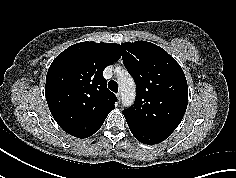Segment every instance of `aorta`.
Listing matches in <instances>:
<instances>
[{
	"instance_id": "aorta-1",
	"label": "aorta",
	"mask_w": 236,
	"mask_h": 178,
	"mask_svg": "<svg viewBox=\"0 0 236 178\" xmlns=\"http://www.w3.org/2000/svg\"><path fill=\"white\" fill-rule=\"evenodd\" d=\"M118 85L121 91L124 106H131L136 97V86L133 78L125 71L118 77Z\"/></svg>"
}]
</instances>
